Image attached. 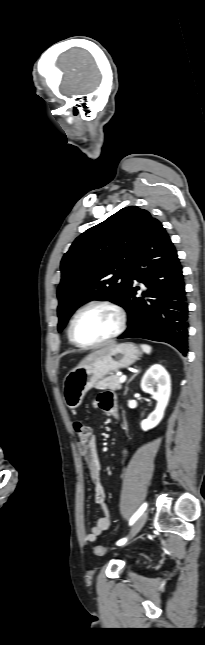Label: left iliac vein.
<instances>
[{
	"instance_id": "left-iliac-vein-1",
	"label": "left iliac vein",
	"mask_w": 205,
	"mask_h": 645,
	"mask_svg": "<svg viewBox=\"0 0 205 645\" xmlns=\"http://www.w3.org/2000/svg\"><path fill=\"white\" fill-rule=\"evenodd\" d=\"M147 518H148V513L147 512H143L139 516V518L135 521V523H134V525H133V527L131 529L130 539L133 538L142 529V527L144 526V524L147 521Z\"/></svg>"
}]
</instances>
